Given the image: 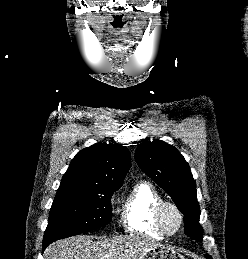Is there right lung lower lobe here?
<instances>
[{
	"mask_svg": "<svg viewBox=\"0 0 248 259\" xmlns=\"http://www.w3.org/2000/svg\"><path fill=\"white\" fill-rule=\"evenodd\" d=\"M50 243H51L50 241H45V240H43L42 250L44 251L45 248H46Z\"/></svg>",
	"mask_w": 248,
	"mask_h": 259,
	"instance_id": "obj_1",
	"label": "right lung lower lobe"
}]
</instances>
